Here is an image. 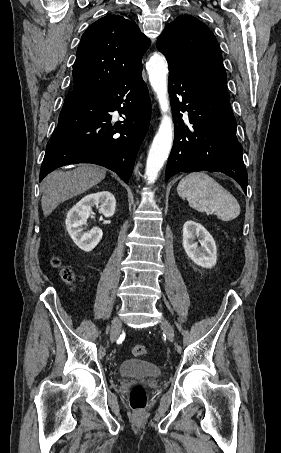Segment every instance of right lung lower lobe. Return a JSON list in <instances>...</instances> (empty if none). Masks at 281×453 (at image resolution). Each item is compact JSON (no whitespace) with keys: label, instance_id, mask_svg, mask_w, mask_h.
Instances as JSON below:
<instances>
[{"label":"right lung lower lobe","instance_id":"1","mask_svg":"<svg viewBox=\"0 0 281 453\" xmlns=\"http://www.w3.org/2000/svg\"><path fill=\"white\" fill-rule=\"evenodd\" d=\"M115 110L124 120L114 124L111 113ZM150 115L142 65L117 83L73 88L47 144L39 181L58 167L93 163L116 172L128 183Z\"/></svg>","mask_w":281,"mask_h":453}]
</instances>
